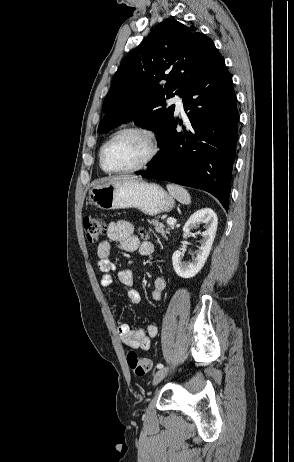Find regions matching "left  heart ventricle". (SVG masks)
Instances as JSON below:
<instances>
[{
	"mask_svg": "<svg viewBox=\"0 0 294 462\" xmlns=\"http://www.w3.org/2000/svg\"><path fill=\"white\" fill-rule=\"evenodd\" d=\"M147 139L134 132L124 133L111 142L104 155L105 166L117 170L133 167L142 162L149 153Z\"/></svg>",
	"mask_w": 294,
	"mask_h": 462,
	"instance_id": "b2bd125f",
	"label": "left heart ventricle"
}]
</instances>
